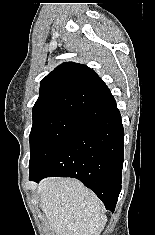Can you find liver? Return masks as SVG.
<instances>
[{
	"instance_id": "liver-1",
	"label": "liver",
	"mask_w": 155,
	"mask_h": 235,
	"mask_svg": "<svg viewBox=\"0 0 155 235\" xmlns=\"http://www.w3.org/2000/svg\"><path fill=\"white\" fill-rule=\"evenodd\" d=\"M38 194L56 235H99L107 222L101 201L76 179L46 178Z\"/></svg>"
}]
</instances>
